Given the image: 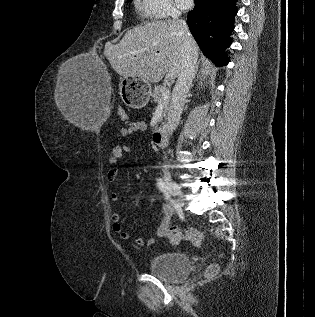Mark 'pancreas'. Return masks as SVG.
<instances>
[{
    "label": "pancreas",
    "mask_w": 315,
    "mask_h": 317,
    "mask_svg": "<svg viewBox=\"0 0 315 317\" xmlns=\"http://www.w3.org/2000/svg\"><path fill=\"white\" fill-rule=\"evenodd\" d=\"M168 90L166 86H155L154 91L152 93V98L155 103H160L164 102V110H163V115L168 111V106H169V99L163 100L162 99V92Z\"/></svg>",
    "instance_id": "pancreas-1"
}]
</instances>
